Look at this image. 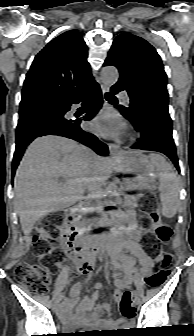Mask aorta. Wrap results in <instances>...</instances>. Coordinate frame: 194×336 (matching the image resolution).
<instances>
[{
  "instance_id": "1",
  "label": "aorta",
  "mask_w": 194,
  "mask_h": 336,
  "mask_svg": "<svg viewBox=\"0 0 194 336\" xmlns=\"http://www.w3.org/2000/svg\"><path fill=\"white\" fill-rule=\"evenodd\" d=\"M119 74L118 70L113 66L104 67L101 71V80L105 85H113L118 81ZM117 186L115 183H112L108 187L109 198L105 201L107 206H113L116 204L113 199L116 195Z\"/></svg>"
}]
</instances>
